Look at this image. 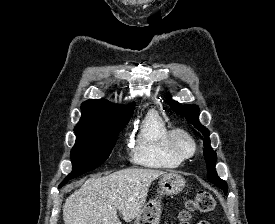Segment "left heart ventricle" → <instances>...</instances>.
<instances>
[{
  "mask_svg": "<svg viewBox=\"0 0 275 224\" xmlns=\"http://www.w3.org/2000/svg\"><path fill=\"white\" fill-rule=\"evenodd\" d=\"M181 146H182V148L185 149V150H189V149H190L189 144H188L187 141H185V140H181Z\"/></svg>",
  "mask_w": 275,
  "mask_h": 224,
  "instance_id": "left-heart-ventricle-1",
  "label": "left heart ventricle"
}]
</instances>
